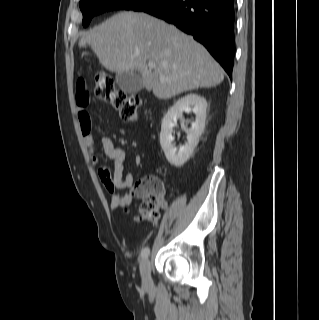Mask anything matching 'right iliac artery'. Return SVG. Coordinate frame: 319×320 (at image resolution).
Wrapping results in <instances>:
<instances>
[{"label": "right iliac artery", "instance_id": "82829eb1", "mask_svg": "<svg viewBox=\"0 0 319 320\" xmlns=\"http://www.w3.org/2000/svg\"><path fill=\"white\" fill-rule=\"evenodd\" d=\"M149 253H150V249H149L148 247H146V248H144V249L142 250V252H141V257H142L143 259H146V258L148 257V255H149Z\"/></svg>", "mask_w": 319, "mask_h": 320}]
</instances>
